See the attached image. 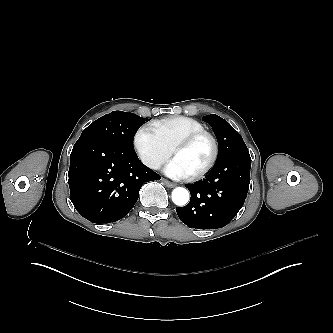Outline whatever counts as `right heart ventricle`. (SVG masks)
Instances as JSON below:
<instances>
[{"mask_svg":"<svg viewBox=\"0 0 333 333\" xmlns=\"http://www.w3.org/2000/svg\"><path fill=\"white\" fill-rule=\"evenodd\" d=\"M150 126L170 149L182 138L205 130L204 125L200 122L181 115L166 117Z\"/></svg>","mask_w":333,"mask_h":333,"instance_id":"e07e8e85","label":"right heart ventricle"}]
</instances>
